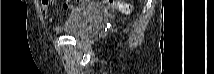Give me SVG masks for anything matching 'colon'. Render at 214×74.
<instances>
[{
	"instance_id": "colon-1",
	"label": "colon",
	"mask_w": 214,
	"mask_h": 74,
	"mask_svg": "<svg viewBox=\"0 0 214 74\" xmlns=\"http://www.w3.org/2000/svg\"><path fill=\"white\" fill-rule=\"evenodd\" d=\"M113 6L121 10L122 12H129L131 7L129 4L121 1H114Z\"/></svg>"
}]
</instances>
